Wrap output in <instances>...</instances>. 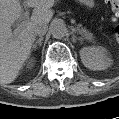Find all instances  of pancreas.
<instances>
[{"label":"pancreas","mask_w":119,"mask_h":119,"mask_svg":"<svg viewBox=\"0 0 119 119\" xmlns=\"http://www.w3.org/2000/svg\"><path fill=\"white\" fill-rule=\"evenodd\" d=\"M77 31L87 40L94 42V36L92 33L88 32L85 28L81 25H78Z\"/></svg>","instance_id":"cf45deb5"}]
</instances>
